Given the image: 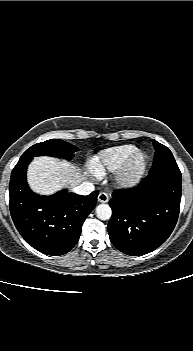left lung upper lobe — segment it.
Masks as SVG:
<instances>
[{
    "label": "left lung upper lobe",
    "instance_id": "obj_1",
    "mask_svg": "<svg viewBox=\"0 0 193 351\" xmlns=\"http://www.w3.org/2000/svg\"><path fill=\"white\" fill-rule=\"evenodd\" d=\"M155 149L154 162L150 169L149 175L156 174L162 170L178 168V165L171 151L163 144L156 140H151Z\"/></svg>",
    "mask_w": 193,
    "mask_h": 351
}]
</instances>
